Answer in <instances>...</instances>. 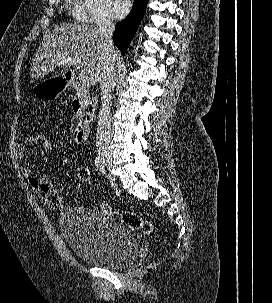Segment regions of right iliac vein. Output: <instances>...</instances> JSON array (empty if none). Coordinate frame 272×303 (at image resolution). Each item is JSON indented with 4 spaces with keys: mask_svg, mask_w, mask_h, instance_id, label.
Here are the masks:
<instances>
[{
    "mask_svg": "<svg viewBox=\"0 0 272 303\" xmlns=\"http://www.w3.org/2000/svg\"><path fill=\"white\" fill-rule=\"evenodd\" d=\"M102 163L105 167H107L108 169H110L111 167V160L109 158H106L104 156L101 157Z\"/></svg>",
    "mask_w": 272,
    "mask_h": 303,
    "instance_id": "1",
    "label": "right iliac vein"
}]
</instances>
